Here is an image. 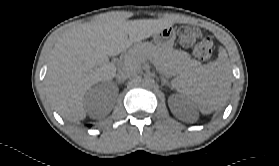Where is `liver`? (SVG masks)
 <instances>
[{
	"instance_id": "6515ba94",
	"label": "liver",
	"mask_w": 279,
	"mask_h": 166,
	"mask_svg": "<svg viewBox=\"0 0 279 166\" xmlns=\"http://www.w3.org/2000/svg\"><path fill=\"white\" fill-rule=\"evenodd\" d=\"M174 22L173 17L127 21L113 13L66 31L52 50L45 78L49 98L58 113L68 120L85 119V92L116 74L108 56L122 53Z\"/></svg>"
}]
</instances>
